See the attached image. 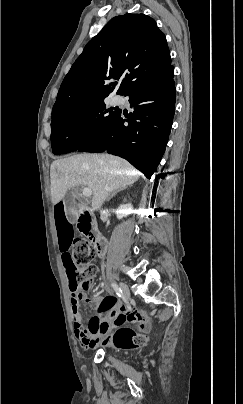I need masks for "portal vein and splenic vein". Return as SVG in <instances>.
I'll return each instance as SVG.
<instances>
[{
    "instance_id": "1",
    "label": "portal vein and splenic vein",
    "mask_w": 243,
    "mask_h": 404,
    "mask_svg": "<svg viewBox=\"0 0 243 404\" xmlns=\"http://www.w3.org/2000/svg\"><path fill=\"white\" fill-rule=\"evenodd\" d=\"M82 194H83V196H91L92 192H91L90 188H83Z\"/></svg>"
}]
</instances>
